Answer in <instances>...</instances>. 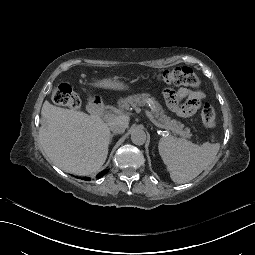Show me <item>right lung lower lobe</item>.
<instances>
[{"mask_svg": "<svg viewBox=\"0 0 255 255\" xmlns=\"http://www.w3.org/2000/svg\"><path fill=\"white\" fill-rule=\"evenodd\" d=\"M104 175H105V174H104ZM104 175H102V176H104ZM102 176H101V177H102ZM98 178H100V177H98ZM85 180H90V178H85Z\"/></svg>", "mask_w": 255, "mask_h": 255, "instance_id": "98d812e1", "label": "right lung lower lobe"}]
</instances>
